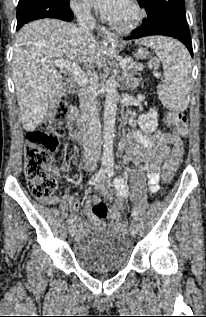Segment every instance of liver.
<instances>
[{
  "label": "liver",
  "instance_id": "6515ba94",
  "mask_svg": "<svg viewBox=\"0 0 206 317\" xmlns=\"http://www.w3.org/2000/svg\"><path fill=\"white\" fill-rule=\"evenodd\" d=\"M100 53L95 39L90 44L80 43L77 28L59 20L34 21L17 33L12 73L26 131L42 123L63 89L54 61L68 59L86 66L97 62Z\"/></svg>",
  "mask_w": 206,
  "mask_h": 317
}]
</instances>
